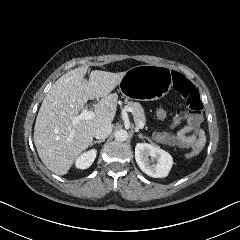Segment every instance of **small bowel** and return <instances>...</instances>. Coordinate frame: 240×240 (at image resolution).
<instances>
[{
	"mask_svg": "<svg viewBox=\"0 0 240 240\" xmlns=\"http://www.w3.org/2000/svg\"><path fill=\"white\" fill-rule=\"evenodd\" d=\"M183 119H186L185 114L176 115L166 129L158 130L153 133L154 140L162 144L177 146L185 150L191 146L202 149L206 137L204 130L200 127L201 124L194 125L187 121V124L181 129L175 132L171 131Z\"/></svg>",
	"mask_w": 240,
	"mask_h": 240,
	"instance_id": "c3829d8e",
	"label": "small bowel"
}]
</instances>
